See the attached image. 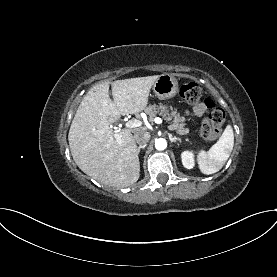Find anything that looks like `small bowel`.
Masks as SVG:
<instances>
[{"label": "small bowel", "instance_id": "small-bowel-1", "mask_svg": "<svg viewBox=\"0 0 277 277\" xmlns=\"http://www.w3.org/2000/svg\"><path fill=\"white\" fill-rule=\"evenodd\" d=\"M206 109H207V106L205 105V103H199L194 106L193 114L195 116H201L206 111Z\"/></svg>", "mask_w": 277, "mask_h": 277}]
</instances>
